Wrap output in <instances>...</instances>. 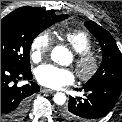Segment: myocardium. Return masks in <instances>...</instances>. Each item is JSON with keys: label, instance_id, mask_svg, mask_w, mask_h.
<instances>
[{"label": "myocardium", "instance_id": "f54148a6", "mask_svg": "<svg viewBox=\"0 0 122 122\" xmlns=\"http://www.w3.org/2000/svg\"><path fill=\"white\" fill-rule=\"evenodd\" d=\"M100 67V58L93 50H86L77 53L75 58V69L79 79L88 81L98 72Z\"/></svg>", "mask_w": 122, "mask_h": 122}]
</instances>
